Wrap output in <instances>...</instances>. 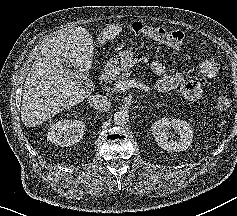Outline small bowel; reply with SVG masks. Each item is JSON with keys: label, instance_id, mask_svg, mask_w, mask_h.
Listing matches in <instances>:
<instances>
[{"label": "small bowel", "instance_id": "1", "mask_svg": "<svg viewBox=\"0 0 237 216\" xmlns=\"http://www.w3.org/2000/svg\"><path fill=\"white\" fill-rule=\"evenodd\" d=\"M200 73L208 78L216 76L218 67L213 60H196ZM151 70L159 76L156 87L159 91L179 90L188 99H198L202 93V86L198 81L185 78L180 73L170 74L160 61L151 63Z\"/></svg>", "mask_w": 237, "mask_h": 216}]
</instances>
